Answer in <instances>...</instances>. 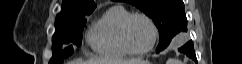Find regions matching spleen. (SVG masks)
I'll list each match as a JSON object with an SVG mask.
<instances>
[{"mask_svg": "<svg viewBox=\"0 0 242 64\" xmlns=\"http://www.w3.org/2000/svg\"><path fill=\"white\" fill-rule=\"evenodd\" d=\"M168 64H181V62L176 59H170L168 60Z\"/></svg>", "mask_w": 242, "mask_h": 64, "instance_id": "spleen-1", "label": "spleen"}]
</instances>
